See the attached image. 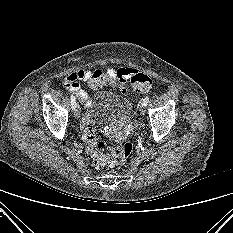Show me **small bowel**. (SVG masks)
I'll list each match as a JSON object with an SVG mask.
<instances>
[{
    "label": "small bowel",
    "mask_w": 233,
    "mask_h": 233,
    "mask_svg": "<svg viewBox=\"0 0 233 233\" xmlns=\"http://www.w3.org/2000/svg\"><path fill=\"white\" fill-rule=\"evenodd\" d=\"M137 70L133 68L123 67L117 70L113 68H108L106 74L115 76L122 83L130 79ZM92 75V71L85 69H78L71 72L64 80V86L70 92L76 94L79 100L86 106L90 105L91 99L88 93L83 90L79 84L80 81L88 82L89 78Z\"/></svg>",
    "instance_id": "small-bowel-1"
}]
</instances>
